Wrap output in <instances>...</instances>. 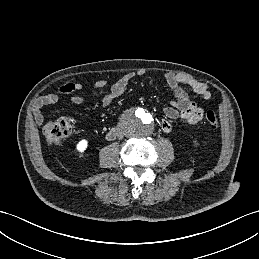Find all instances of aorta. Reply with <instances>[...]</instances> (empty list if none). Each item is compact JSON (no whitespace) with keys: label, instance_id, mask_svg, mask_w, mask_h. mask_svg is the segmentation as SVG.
Listing matches in <instances>:
<instances>
[{"label":"aorta","instance_id":"aorta-1","mask_svg":"<svg viewBox=\"0 0 259 259\" xmlns=\"http://www.w3.org/2000/svg\"><path fill=\"white\" fill-rule=\"evenodd\" d=\"M121 128L130 137H147L153 132L154 116L146 108L131 109L122 118Z\"/></svg>","mask_w":259,"mask_h":259}]
</instances>
